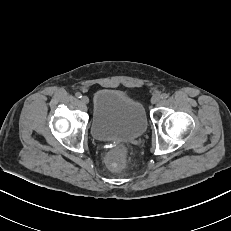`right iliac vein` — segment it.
Returning a JSON list of instances; mask_svg holds the SVG:
<instances>
[{"instance_id":"right-iliac-vein-1","label":"right iliac vein","mask_w":231,"mask_h":231,"mask_svg":"<svg viewBox=\"0 0 231 231\" xmlns=\"http://www.w3.org/2000/svg\"><path fill=\"white\" fill-rule=\"evenodd\" d=\"M81 101H82V103H84V104H88V103H89V98H88L87 96H83V97L81 98Z\"/></svg>"}]
</instances>
